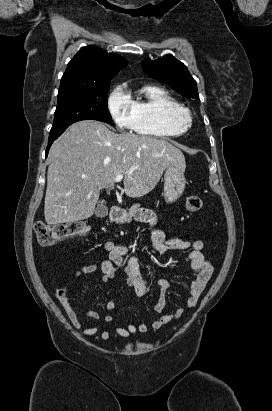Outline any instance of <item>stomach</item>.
<instances>
[{
  "instance_id": "stomach-1",
  "label": "stomach",
  "mask_w": 272,
  "mask_h": 411,
  "mask_svg": "<svg viewBox=\"0 0 272 411\" xmlns=\"http://www.w3.org/2000/svg\"><path fill=\"white\" fill-rule=\"evenodd\" d=\"M186 179L182 170L170 165L164 172V199L166 203L177 201L184 192ZM116 223L123 224L128 221L126 215L117 218Z\"/></svg>"
}]
</instances>
